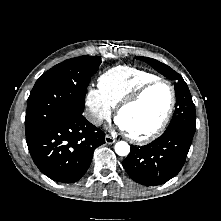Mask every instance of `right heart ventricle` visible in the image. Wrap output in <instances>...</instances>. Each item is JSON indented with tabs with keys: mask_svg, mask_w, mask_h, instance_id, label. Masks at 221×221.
<instances>
[{
	"mask_svg": "<svg viewBox=\"0 0 221 221\" xmlns=\"http://www.w3.org/2000/svg\"><path fill=\"white\" fill-rule=\"evenodd\" d=\"M156 75L131 66H116L98 78L99 91L110 107H116L126 96Z\"/></svg>",
	"mask_w": 221,
	"mask_h": 221,
	"instance_id": "right-heart-ventricle-1",
	"label": "right heart ventricle"
}]
</instances>
